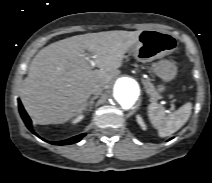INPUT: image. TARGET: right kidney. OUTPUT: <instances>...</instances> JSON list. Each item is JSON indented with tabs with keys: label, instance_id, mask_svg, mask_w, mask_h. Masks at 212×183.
<instances>
[{
	"label": "right kidney",
	"instance_id": "right-kidney-1",
	"mask_svg": "<svg viewBox=\"0 0 212 183\" xmlns=\"http://www.w3.org/2000/svg\"><path fill=\"white\" fill-rule=\"evenodd\" d=\"M83 118H84V115L80 114L75 119H73L72 123L76 124V123L80 122L81 120H83Z\"/></svg>",
	"mask_w": 212,
	"mask_h": 183
}]
</instances>
